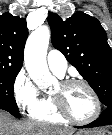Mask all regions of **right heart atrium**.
<instances>
[{
	"label": "right heart atrium",
	"mask_w": 112,
	"mask_h": 135,
	"mask_svg": "<svg viewBox=\"0 0 112 135\" xmlns=\"http://www.w3.org/2000/svg\"><path fill=\"white\" fill-rule=\"evenodd\" d=\"M13 95L17 106L31 114L44 102L45 97L24 71H20L13 83Z\"/></svg>",
	"instance_id": "right-heart-atrium-1"
}]
</instances>
